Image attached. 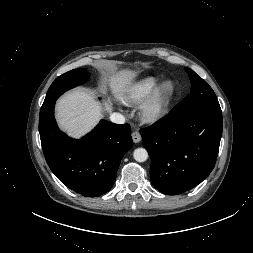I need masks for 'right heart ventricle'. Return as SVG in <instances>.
Listing matches in <instances>:
<instances>
[{
	"label": "right heart ventricle",
	"instance_id": "1",
	"mask_svg": "<svg viewBox=\"0 0 253 253\" xmlns=\"http://www.w3.org/2000/svg\"><path fill=\"white\" fill-rule=\"evenodd\" d=\"M159 85V79L153 76L141 78L126 87L122 100L126 104L136 105L145 101Z\"/></svg>",
	"mask_w": 253,
	"mask_h": 253
}]
</instances>
